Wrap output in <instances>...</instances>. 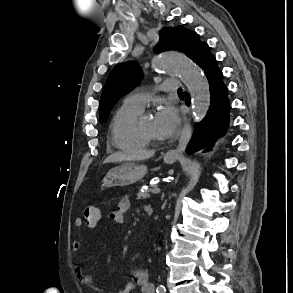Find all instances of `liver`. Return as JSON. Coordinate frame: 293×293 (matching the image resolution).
I'll return each instance as SVG.
<instances>
[{"label": "liver", "mask_w": 293, "mask_h": 293, "mask_svg": "<svg viewBox=\"0 0 293 293\" xmlns=\"http://www.w3.org/2000/svg\"><path fill=\"white\" fill-rule=\"evenodd\" d=\"M154 151H139L133 154H125V153H114L108 156L104 163H115L122 161H133V160H145L149 159L154 155Z\"/></svg>", "instance_id": "obj_1"}]
</instances>
